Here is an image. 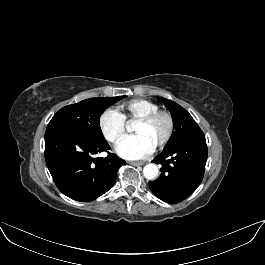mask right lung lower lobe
Masks as SVG:
<instances>
[{"mask_svg":"<svg viewBox=\"0 0 265 265\" xmlns=\"http://www.w3.org/2000/svg\"><path fill=\"white\" fill-rule=\"evenodd\" d=\"M109 144L70 130L45 133V160L58 189L81 202L93 201L107 192L116 180L118 169L126 162L115 154L96 157Z\"/></svg>","mask_w":265,"mask_h":265,"instance_id":"98d812e1","label":"right lung lower lobe"}]
</instances>
